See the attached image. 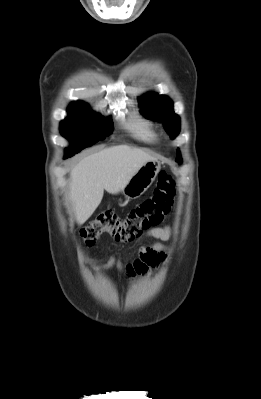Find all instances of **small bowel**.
Segmentation results:
<instances>
[{
	"label": "small bowel",
	"instance_id": "1",
	"mask_svg": "<svg viewBox=\"0 0 261 399\" xmlns=\"http://www.w3.org/2000/svg\"><path fill=\"white\" fill-rule=\"evenodd\" d=\"M171 236L172 229L170 226L152 228L145 233L144 237L156 239L160 242L141 246L138 256L125 266L112 256L106 263L98 266V269H109L117 266L120 271L124 272L126 279L131 282L134 276L148 274L151 267H160L164 264L168 248L162 242L169 240Z\"/></svg>",
	"mask_w": 261,
	"mask_h": 399
}]
</instances>
